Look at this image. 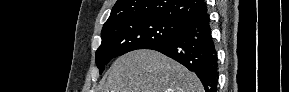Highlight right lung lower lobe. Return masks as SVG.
Listing matches in <instances>:
<instances>
[{"label":"right lung lower lobe","mask_w":289,"mask_h":92,"mask_svg":"<svg viewBox=\"0 0 289 92\" xmlns=\"http://www.w3.org/2000/svg\"><path fill=\"white\" fill-rule=\"evenodd\" d=\"M178 61L201 80L205 92H216L218 82L217 52L211 36L207 12L186 22L174 37L150 46Z\"/></svg>","instance_id":"98d812e1"}]
</instances>
